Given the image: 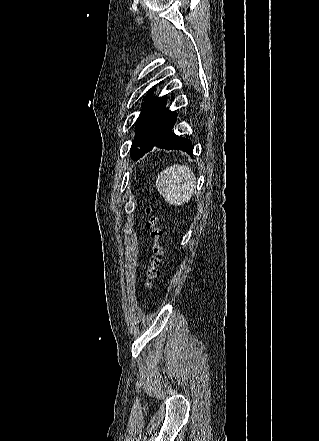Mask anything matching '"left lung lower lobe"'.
I'll list each match as a JSON object with an SVG mask.
<instances>
[{
  "label": "left lung lower lobe",
  "instance_id": "0a47b994",
  "mask_svg": "<svg viewBox=\"0 0 319 441\" xmlns=\"http://www.w3.org/2000/svg\"><path fill=\"white\" fill-rule=\"evenodd\" d=\"M176 121L177 114H174L153 136L144 153L149 152L154 146H156L166 150H182L191 155L193 153L192 142L187 138L178 137L172 132V128Z\"/></svg>",
  "mask_w": 319,
  "mask_h": 441
}]
</instances>
